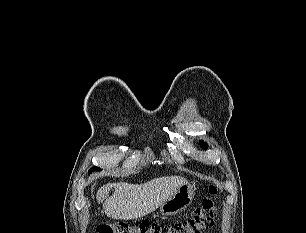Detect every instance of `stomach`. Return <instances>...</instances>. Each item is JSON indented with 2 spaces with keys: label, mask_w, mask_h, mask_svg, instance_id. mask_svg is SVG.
Returning <instances> with one entry per match:
<instances>
[{
  "label": "stomach",
  "mask_w": 306,
  "mask_h": 233,
  "mask_svg": "<svg viewBox=\"0 0 306 233\" xmlns=\"http://www.w3.org/2000/svg\"><path fill=\"white\" fill-rule=\"evenodd\" d=\"M193 198L192 186L188 183L183 184L160 206V213L164 216L175 215L190 205Z\"/></svg>",
  "instance_id": "0dacf381"
}]
</instances>
